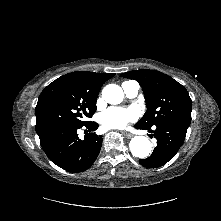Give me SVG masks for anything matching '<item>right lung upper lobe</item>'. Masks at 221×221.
<instances>
[{
    "instance_id": "right-lung-upper-lobe-1",
    "label": "right lung upper lobe",
    "mask_w": 221,
    "mask_h": 221,
    "mask_svg": "<svg viewBox=\"0 0 221 221\" xmlns=\"http://www.w3.org/2000/svg\"><path fill=\"white\" fill-rule=\"evenodd\" d=\"M114 75L115 74L112 73L104 74L87 71H77L63 75L59 79L69 80L88 96L97 98L103 83Z\"/></svg>"
}]
</instances>
